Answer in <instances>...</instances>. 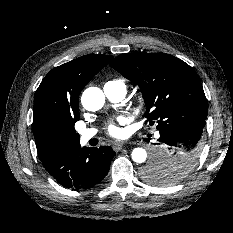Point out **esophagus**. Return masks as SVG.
Wrapping results in <instances>:
<instances>
[{"mask_svg":"<svg viewBox=\"0 0 233 233\" xmlns=\"http://www.w3.org/2000/svg\"><path fill=\"white\" fill-rule=\"evenodd\" d=\"M123 146H124L123 142H116L113 145V149H114V151L118 152L123 148Z\"/></svg>","mask_w":233,"mask_h":233,"instance_id":"1","label":"esophagus"}]
</instances>
